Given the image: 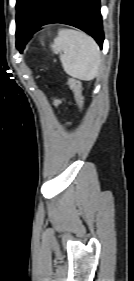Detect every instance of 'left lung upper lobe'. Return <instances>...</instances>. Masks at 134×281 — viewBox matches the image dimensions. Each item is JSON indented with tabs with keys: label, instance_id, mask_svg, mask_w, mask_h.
Returning a JSON list of instances; mask_svg holds the SVG:
<instances>
[{
	"label": "left lung upper lobe",
	"instance_id": "obj_1",
	"mask_svg": "<svg viewBox=\"0 0 134 281\" xmlns=\"http://www.w3.org/2000/svg\"><path fill=\"white\" fill-rule=\"evenodd\" d=\"M41 1L42 0H17L16 32H19L26 27L29 19Z\"/></svg>",
	"mask_w": 134,
	"mask_h": 281
}]
</instances>
